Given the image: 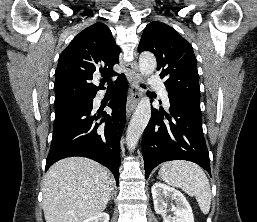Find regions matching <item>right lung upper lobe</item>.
Listing matches in <instances>:
<instances>
[{
    "instance_id": "1",
    "label": "right lung upper lobe",
    "mask_w": 257,
    "mask_h": 222,
    "mask_svg": "<svg viewBox=\"0 0 257 222\" xmlns=\"http://www.w3.org/2000/svg\"><path fill=\"white\" fill-rule=\"evenodd\" d=\"M120 48L104 23H95L74 37L61 53L55 71V103L93 98L103 84L95 86V74L116 76Z\"/></svg>"
}]
</instances>
